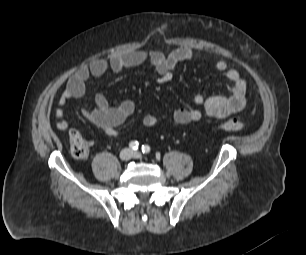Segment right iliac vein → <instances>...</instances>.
<instances>
[{
    "instance_id": "obj_1",
    "label": "right iliac vein",
    "mask_w": 306,
    "mask_h": 255,
    "mask_svg": "<svg viewBox=\"0 0 306 255\" xmlns=\"http://www.w3.org/2000/svg\"><path fill=\"white\" fill-rule=\"evenodd\" d=\"M132 157V152L129 149H123L120 152V159L122 161H128Z\"/></svg>"
}]
</instances>
